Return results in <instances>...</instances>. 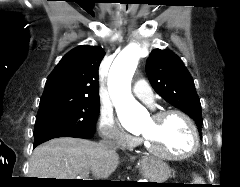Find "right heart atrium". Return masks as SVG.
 Listing matches in <instances>:
<instances>
[{"label":"right heart atrium","instance_id":"obj_1","mask_svg":"<svg viewBox=\"0 0 240 187\" xmlns=\"http://www.w3.org/2000/svg\"><path fill=\"white\" fill-rule=\"evenodd\" d=\"M99 134L103 142L117 147H131L137 140L125 134L109 112L101 113L98 122Z\"/></svg>","mask_w":240,"mask_h":187}]
</instances>
